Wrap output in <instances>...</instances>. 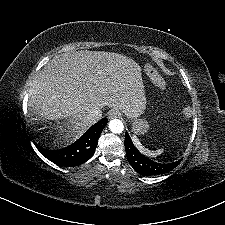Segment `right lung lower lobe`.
Here are the masks:
<instances>
[{
	"label": "right lung lower lobe",
	"mask_w": 225,
	"mask_h": 225,
	"mask_svg": "<svg viewBox=\"0 0 225 225\" xmlns=\"http://www.w3.org/2000/svg\"><path fill=\"white\" fill-rule=\"evenodd\" d=\"M108 123L107 118L92 125L77 141L64 148L45 149L34 142L39 152L55 164L66 167H75L89 160L95 152L98 139L104 127Z\"/></svg>",
	"instance_id": "98d812e1"
}]
</instances>
